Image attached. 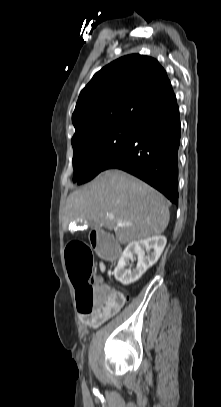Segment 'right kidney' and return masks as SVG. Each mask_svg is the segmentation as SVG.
<instances>
[{
    "label": "right kidney",
    "mask_w": 221,
    "mask_h": 407,
    "mask_svg": "<svg viewBox=\"0 0 221 407\" xmlns=\"http://www.w3.org/2000/svg\"><path fill=\"white\" fill-rule=\"evenodd\" d=\"M166 242V237L161 235L130 242L124 249L114 270L116 280L123 285H129L139 280L157 262ZM145 251L147 255H145ZM135 256L138 257L136 268L133 270L126 269V265L129 264V261H133Z\"/></svg>",
    "instance_id": "ca27d5eb"
}]
</instances>
